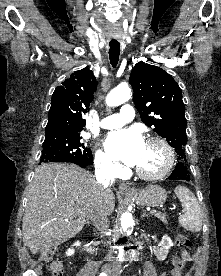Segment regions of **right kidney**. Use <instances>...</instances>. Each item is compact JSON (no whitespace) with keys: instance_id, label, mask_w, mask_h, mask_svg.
I'll list each match as a JSON object with an SVG mask.
<instances>
[{"instance_id":"right-kidney-1","label":"right kidney","mask_w":221,"mask_h":276,"mask_svg":"<svg viewBox=\"0 0 221 276\" xmlns=\"http://www.w3.org/2000/svg\"><path fill=\"white\" fill-rule=\"evenodd\" d=\"M73 246H80V242L79 241H77V242H75L74 244H73ZM66 255L67 256H72V255H74V250L73 249H71V248H69L67 251H66Z\"/></svg>"}]
</instances>
